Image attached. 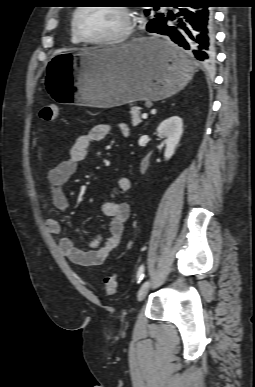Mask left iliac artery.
<instances>
[{
    "label": "left iliac artery",
    "mask_w": 255,
    "mask_h": 387,
    "mask_svg": "<svg viewBox=\"0 0 255 387\" xmlns=\"http://www.w3.org/2000/svg\"><path fill=\"white\" fill-rule=\"evenodd\" d=\"M144 271H145V267L144 265H141L138 269V272H137V282L140 283L142 281V279L144 278Z\"/></svg>",
    "instance_id": "obj_1"
}]
</instances>
